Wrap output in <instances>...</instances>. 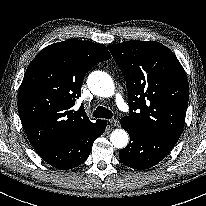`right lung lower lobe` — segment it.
Segmentation results:
<instances>
[{
    "instance_id": "obj_1",
    "label": "right lung lower lobe",
    "mask_w": 206,
    "mask_h": 206,
    "mask_svg": "<svg viewBox=\"0 0 206 206\" xmlns=\"http://www.w3.org/2000/svg\"><path fill=\"white\" fill-rule=\"evenodd\" d=\"M105 120H98L92 127L72 140L55 146L38 149V155L59 170H68L81 165L88 158L93 142L106 128Z\"/></svg>"
}]
</instances>
